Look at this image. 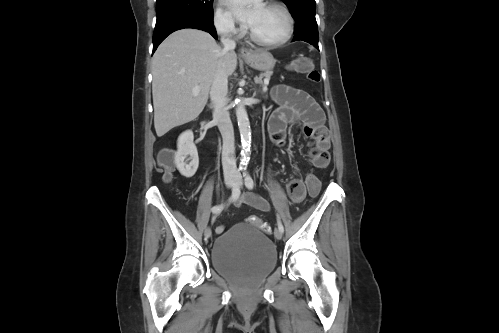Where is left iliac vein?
<instances>
[{
	"mask_svg": "<svg viewBox=\"0 0 499 333\" xmlns=\"http://www.w3.org/2000/svg\"><path fill=\"white\" fill-rule=\"evenodd\" d=\"M235 181L236 183L241 186L243 184V180H242V177L240 175H236L235 177ZM274 235H275V238L278 239V240H281L282 239V232L279 230V229H276L275 232H274Z\"/></svg>",
	"mask_w": 499,
	"mask_h": 333,
	"instance_id": "1",
	"label": "left iliac vein"
}]
</instances>
